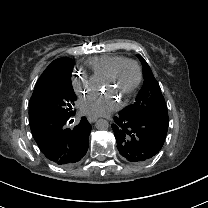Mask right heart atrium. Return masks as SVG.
Segmentation results:
<instances>
[{"label":"right heart atrium","mask_w":208,"mask_h":208,"mask_svg":"<svg viewBox=\"0 0 208 208\" xmlns=\"http://www.w3.org/2000/svg\"><path fill=\"white\" fill-rule=\"evenodd\" d=\"M71 87L78 97L91 96L94 91V80L84 73L73 70L71 74Z\"/></svg>","instance_id":"1"}]
</instances>
